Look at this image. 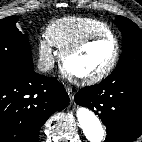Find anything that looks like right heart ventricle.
<instances>
[{"instance_id":"right-heart-ventricle-1","label":"right heart ventricle","mask_w":142,"mask_h":142,"mask_svg":"<svg viewBox=\"0 0 142 142\" xmlns=\"http://www.w3.org/2000/svg\"><path fill=\"white\" fill-rule=\"evenodd\" d=\"M95 34H112L102 21L86 17L59 19L48 26L46 37L60 52H63L83 38Z\"/></svg>"}]
</instances>
